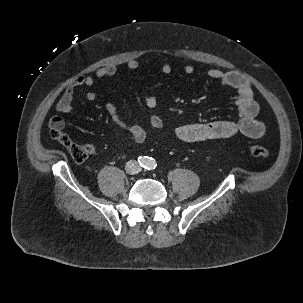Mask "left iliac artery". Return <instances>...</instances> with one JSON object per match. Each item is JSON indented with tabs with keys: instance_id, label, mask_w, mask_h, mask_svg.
I'll list each match as a JSON object with an SVG mask.
<instances>
[{
	"instance_id": "1",
	"label": "left iliac artery",
	"mask_w": 303,
	"mask_h": 303,
	"mask_svg": "<svg viewBox=\"0 0 303 303\" xmlns=\"http://www.w3.org/2000/svg\"><path fill=\"white\" fill-rule=\"evenodd\" d=\"M156 165L157 164H156L155 160L153 158H150V160L148 161V164H147V169H150V170L155 169Z\"/></svg>"
}]
</instances>
